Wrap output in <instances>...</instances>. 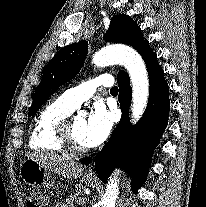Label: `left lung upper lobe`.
I'll return each instance as SVG.
<instances>
[{
  "mask_svg": "<svg viewBox=\"0 0 206 207\" xmlns=\"http://www.w3.org/2000/svg\"><path fill=\"white\" fill-rule=\"evenodd\" d=\"M104 39L109 42L130 45L140 55L149 48V42L144 39L140 27L126 14H119L111 19ZM87 51V41H80L64 47L52 58L46 66L41 82L34 94L29 116L34 115L58 87L72 79L79 72ZM125 73L120 71L117 78Z\"/></svg>",
  "mask_w": 206,
  "mask_h": 207,
  "instance_id": "5c2ea615",
  "label": "left lung upper lobe"
}]
</instances>
